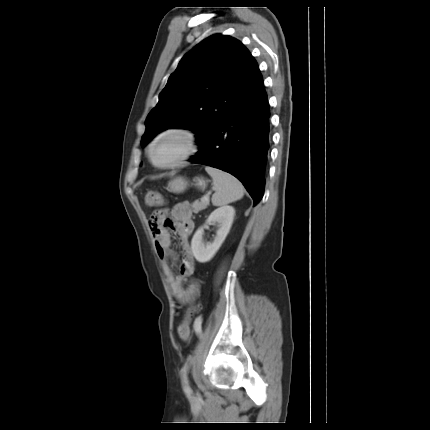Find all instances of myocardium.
<instances>
[{"label":"myocardium","mask_w":430,"mask_h":430,"mask_svg":"<svg viewBox=\"0 0 430 430\" xmlns=\"http://www.w3.org/2000/svg\"><path fill=\"white\" fill-rule=\"evenodd\" d=\"M170 134H178L181 135L186 142L185 150L182 154H180L178 157H176L174 160H172L169 163L166 164H160L158 163L153 155L154 148L156 144L165 136ZM197 152V138L196 135L189 129L184 127H169L166 128L159 133H157L149 142L147 146V157L149 161L157 168L159 169H171L174 167L179 166L180 164L184 163L188 159H190L195 153Z\"/></svg>","instance_id":"f54148a6"}]
</instances>
